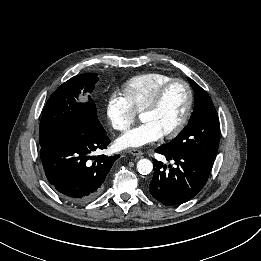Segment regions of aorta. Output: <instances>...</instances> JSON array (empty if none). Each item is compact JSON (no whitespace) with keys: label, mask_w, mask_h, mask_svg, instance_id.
Listing matches in <instances>:
<instances>
[{"label":"aorta","mask_w":261,"mask_h":261,"mask_svg":"<svg viewBox=\"0 0 261 261\" xmlns=\"http://www.w3.org/2000/svg\"><path fill=\"white\" fill-rule=\"evenodd\" d=\"M137 170L142 175L150 174L153 170V164L148 159H140L137 162Z\"/></svg>","instance_id":"1"}]
</instances>
